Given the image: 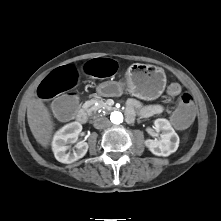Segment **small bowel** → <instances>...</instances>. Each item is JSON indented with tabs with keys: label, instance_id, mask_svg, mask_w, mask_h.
I'll list each match as a JSON object with an SVG mask.
<instances>
[{
	"label": "small bowel",
	"instance_id": "1",
	"mask_svg": "<svg viewBox=\"0 0 221 221\" xmlns=\"http://www.w3.org/2000/svg\"><path fill=\"white\" fill-rule=\"evenodd\" d=\"M134 110H138L142 117H151L162 113L163 107L158 104L142 105L139 101L132 99L128 102L127 116H132Z\"/></svg>",
	"mask_w": 221,
	"mask_h": 221
}]
</instances>
